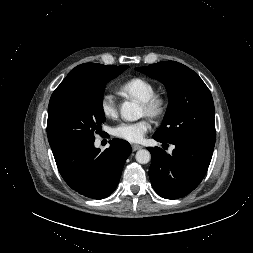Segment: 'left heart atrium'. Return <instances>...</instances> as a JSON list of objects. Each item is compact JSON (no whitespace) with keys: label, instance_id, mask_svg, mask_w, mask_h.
Here are the masks:
<instances>
[{"label":"left heart atrium","instance_id":"obj_1","mask_svg":"<svg viewBox=\"0 0 253 253\" xmlns=\"http://www.w3.org/2000/svg\"><path fill=\"white\" fill-rule=\"evenodd\" d=\"M151 130V121L142 119L136 122H121L112 128V134L131 143L140 142Z\"/></svg>","mask_w":253,"mask_h":253}]
</instances>
